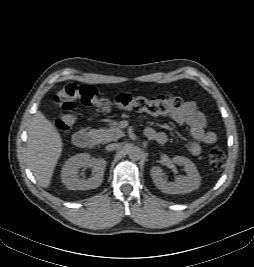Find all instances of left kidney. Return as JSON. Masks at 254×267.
Masks as SVG:
<instances>
[{"instance_id":"1","label":"left kidney","mask_w":254,"mask_h":267,"mask_svg":"<svg viewBox=\"0 0 254 267\" xmlns=\"http://www.w3.org/2000/svg\"><path fill=\"white\" fill-rule=\"evenodd\" d=\"M173 163L184 166L185 176H178L174 182H167L163 178L162 170L158 166L151 168V177L155 186L164 193L185 194L199 188L201 177L195 167V164L186 157L174 156Z\"/></svg>"}]
</instances>
